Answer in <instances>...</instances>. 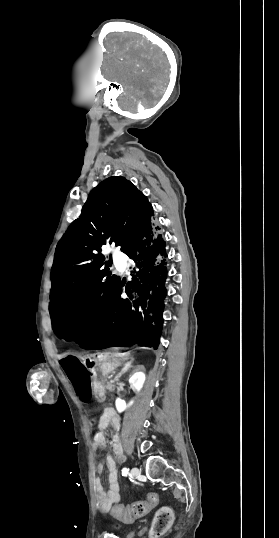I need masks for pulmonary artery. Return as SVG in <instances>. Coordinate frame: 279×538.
<instances>
[{
	"instance_id": "1",
	"label": "pulmonary artery",
	"mask_w": 279,
	"mask_h": 538,
	"mask_svg": "<svg viewBox=\"0 0 279 538\" xmlns=\"http://www.w3.org/2000/svg\"><path fill=\"white\" fill-rule=\"evenodd\" d=\"M126 269H127V267H123V268H122V271H124V272H125V271H126Z\"/></svg>"
}]
</instances>
